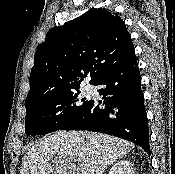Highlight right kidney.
Returning a JSON list of instances; mask_svg holds the SVG:
<instances>
[{
  "mask_svg": "<svg viewBox=\"0 0 175 174\" xmlns=\"http://www.w3.org/2000/svg\"><path fill=\"white\" fill-rule=\"evenodd\" d=\"M109 174H135V173L134 168L130 163V161L120 160L111 167Z\"/></svg>",
  "mask_w": 175,
  "mask_h": 174,
  "instance_id": "ca27d5eb",
  "label": "right kidney"
}]
</instances>
